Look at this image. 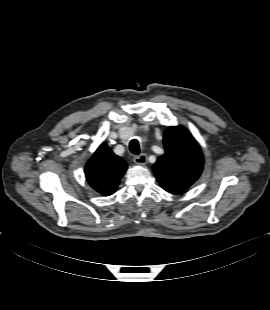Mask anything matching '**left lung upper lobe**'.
Here are the masks:
<instances>
[{"label": "left lung upper lobe", "mask_w": 270, "mask_h": 310, "mask_svg": "<svg viewBox=\"0 0 270 310\" xmlns=\"http://www.w3.org/2000/svg\"><path fill=\"white\" fill-rule=\"evenodd\" d=\"M165 154L153 169L160 185L167 192L178 194L188 189L203 169V154L189 131L182 126L168 128L164 133Z\"/></svg>", "instance_id": "5c2ea615"}]
</instances>
